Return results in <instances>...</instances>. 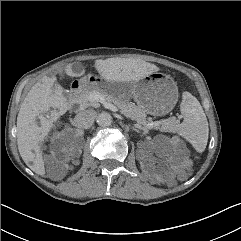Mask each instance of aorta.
I'll return each mask as SVG.
<instances>
[{
	"instance_id": "1",
	"label": "aorta",
	"mask_w": 241,
	"mask_h": 241,
	"mask_svg": "<svg viewBox=\"0 0 241 241\" xmlns=\"http://www.w3.org/2000/svg\"><path fill=\"white\" fill-rule=\"evenodd\" d=\"M97 123L102 127H107L112 123V116L107 112H102L97 116Z\"/></svg>"
}]
</instances>
